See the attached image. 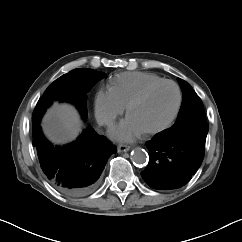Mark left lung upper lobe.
I'll return each instance as SVG.
<instances>
[{"instance_id": "obj_1", "label": "left lung upper lobe", "mask_w": 242, "mask_h": 242, "mask_svg": "<svg viewBox=\"0 0 242 242\" xmlns=\"http://www.w3.org/2000/svg\"><path fill=\"white\" fill-rule=\"evenodd\" d=\"M183 92L182 105L175 124L162 132L172 136L207 135L208 125L201 99L186 81L178 78Z\"/></svg>"}]
</instances>
